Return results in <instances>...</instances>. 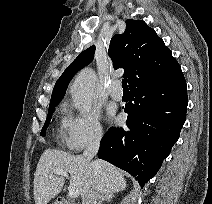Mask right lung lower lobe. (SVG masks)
Listing matches in <instances>:
<instances>
[{
    "instance_id": "right-lung-lower-lobe-1",
    "label": "right lung lower lobe",
    "mask_w": 212,
    "mask_h": 204,
    "mask_svg": "<svg viewBox=\"0 0 212 204\" xmlns=\"http://www.w3.org/2000/svg\"><path fill=\"white\" fill-rule=\"evenodd\" d=\"M187 104L180 66L133 86L124 109L128 113L126 126L108 130L98 157L127 171L143 187L178 140Z\"/></svg>"
}]
</instances>
